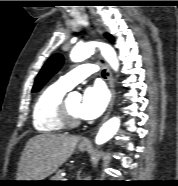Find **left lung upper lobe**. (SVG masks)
Here are the masks:
<instances>
[{
	"label": "left lung upper lobe",
	"mask_w": 178,
	"mask_h": 186,
	"mask_svg": "<svg viewBox=\"0 0 178 186\" xmlns=\"http://www.w3.org/2000/svg\"><path fill=\"white\" fill-rule=\"evenodd\" d=\"M108 39L112 40L113 37L109 34L105 35ZM64 58L61 54H54L44 64L39 72L32 91L40 90L43 85L61 68Z\"/></svg>",
	"instance_id": "5c2ea615"
}]
</instances>
